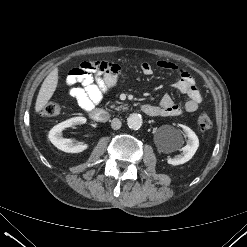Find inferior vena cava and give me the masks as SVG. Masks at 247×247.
<instances>
[{
    "label": "inferior vena cava",
    "instance_id": "obj_1",
    "mask_svg": "<svg viewBox=\"0 0 247 247\" xmlns=\"http://www.w3.org/2000/svg\"><path fill=\"white\" fill-rule=\"evenodd\" d=\"M111 127L112 129L114 130H118L121 128V121L118 119V118H114L112 121H111Z\"/></svg>",
    "mask_w": 247,
    "mask_h": 247
}]
</instances>
